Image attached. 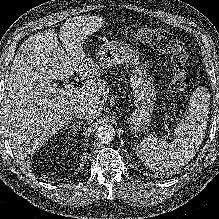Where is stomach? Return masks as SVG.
Listing matches in <instances>:
<instances>
[{"instance_id":"obj_1","label":"stomach","mask_w":219,"mask_h":219,"mask_svg":"<svg viewBox=\"0 0 219 219\" xmlns=\"http://www.w3.org/2000/svg\"><path fill=\"white\" fill-rule=\"evenodd\" d=\"M95 56L102 69L124 64L132 68L130 86L134 97V110L127 117L126 123L133 133L146 132L151 126L157 90L153 77L142 65L138 66V51L123 40H111L106 41Z\"/></svg>"}]
</instances>
